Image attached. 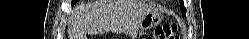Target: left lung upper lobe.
<instances>
[{"label": "left lung upper lobe", "mask_w": 249, "mask_h": 39, "mask_svg": "<svg viewBox=\"0 0 249 39\" xmlns=\"http://www.w3.org/2000/svg\"><path fill=\"white\" fill-rule=\"evenodd\" d=\"M180 9H181L182 13H184V14L186 13V9L183 6L182 0L180 1Z\"/></svg>", "instance_id": "left-lung-upper-lobe-1"}]
</instances>
